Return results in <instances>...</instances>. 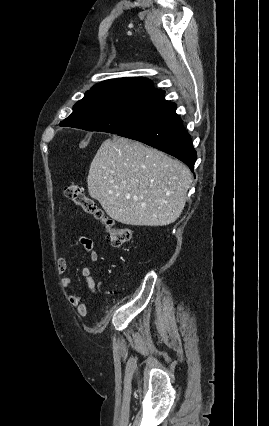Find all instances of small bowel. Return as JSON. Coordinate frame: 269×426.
Masks as SVG:
<instances>
[{"mask_svg": "<svg viewBox=\"0 0 269 426\" xmlns=\"http://www.w3.org/2000/svg\"><path fill=\"white\" fill-rule=\"evenodd\" d=\"M75 245H81L85 251V254L89 258V260L93 263H95L98 259L97 253L94 249V244L91 238L86 236L79 237L75 242L71 243L67 249L65 250L64 254L58 259L57 261V270L58 273L61 275H64L67 271V258L66 254L75 246ZM93 267L92 266H86L82 269V276L90 289L92 293L97 292L98 283L92 276ZM61 286L63 289L70 291L67 295L68 302L75 308L77 314L79 316H85L87 315L89 309L88 306L82 302L81 297L74 293L72 291V279L69 276H64L61 279Z\"/></svg>", "mask_w": 269, "mask_h": 426, "instance_id": "small-bowel-1", "label": "small bowel"}]
</instances>
